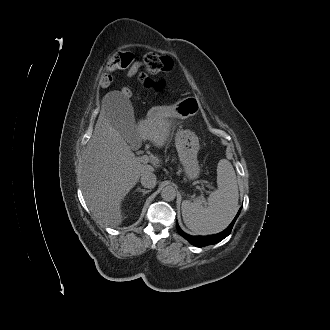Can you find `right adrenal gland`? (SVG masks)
Masks as SVG:
<instances>
[{
  "label": "right adrenal gland",
  "mask_w": 330,
  "mask_h": 330,
  "mask_svg": "<svg viewBox=\"0 0 330 330\" xmlns=\"http://www.w3.org/2000/svg\"><path fill=\"white\" fill-rule=\"evenodd\" d=\"M137 191L142 192L143 195H145V194L149 193L151 190H145V189H141L140 187H138Z\"/></svg>",
  "instance_id": "right-adrenal-gland-1"
}]
</instances>
